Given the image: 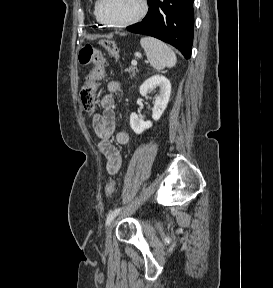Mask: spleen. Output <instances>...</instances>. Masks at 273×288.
Segmentation results:
<instances>
[{"mask_svg": "<svg viewBox=\"0 0 273 288\" xmlns=\"http://www.w3.org/2000/svg\"><path fill=\"white\" fill-rule=\"evenodd\" d=\"M140 44L153 68L160 70L175 66L177 58L174 51L162 41L153 37H143Z\"/></svg>", "mask_w": 273, "mask_h": 288, "instance_id": "1", "label": "spleen"}]
</instances>
